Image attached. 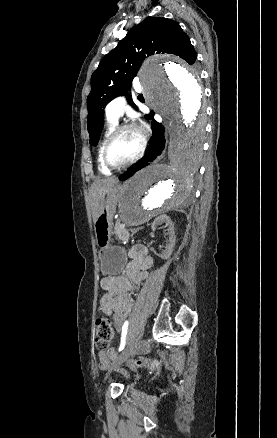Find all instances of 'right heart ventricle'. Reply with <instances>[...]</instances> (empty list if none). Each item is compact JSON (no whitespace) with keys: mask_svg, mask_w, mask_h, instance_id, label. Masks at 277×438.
<instances>
[{"mask_svg":"<svg viewBox=\"0 0 277 438\" xmlns=\"http://www.w3.org/2000/svg\"><path fill=\"white\" fill-rule=\"evenodd\" d=\"M115 123H116V121H110L109 120L107 129H106L105 134H104V137H103V139H102V141L100 143V146H99V150H98V167H99V170H100V172L102 174H109L110 173L109 169L102 162V149H103V146H104L107 138L111 134V132L113 130V127L115 126Z\"/></svg>","mask_w":277,"mask_h":438,"instance_id":"e07e8e85","label":"right heart ventricle"}]
</instances>
